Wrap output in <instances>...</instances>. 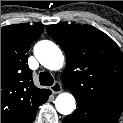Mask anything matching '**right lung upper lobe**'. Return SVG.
I'll return each instance as SVG.
<instances>
[{
  "label": "right lung upper lobe",
  "mask_w": 123,
  "mask_h": 123,
  "mask_svg": "<svg viewBox=\"0 0 123 123\" xmlns=\"http://www.w3.org/2000/svg\"><path fill=\"white\" fill-rule=\"evenodd\" d=\"M43 27H1V123H26L45 102L49 90L37 88L27 64V52Z\"/></svg>",
  "instance_id": "1"
}]
</instances>
